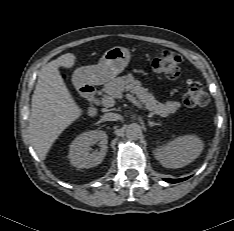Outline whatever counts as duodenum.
I'll return each instance as SVG.
<instances>
[{
    "instance_id": "duodenum-1",
    "label": "duodenum",
    "mask_w": 234,
    "mask_h": 231,
    "mask_svg": "<svg viewBox=\"0 0 234 231\" xmlns=\"http://www.w3.org/2000/svg\"><path fill=\"white\" fill-rule=\"evenodd\" d=\"M77 88L81 92V94L84 96V98L91 103V106L88 110L89 115L95 116L97 114V109L94 105V102L96 100L95 87L91 85L90 83L79 80L77 81Z\"/></svg>"
}]
</instances>
